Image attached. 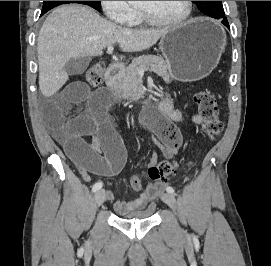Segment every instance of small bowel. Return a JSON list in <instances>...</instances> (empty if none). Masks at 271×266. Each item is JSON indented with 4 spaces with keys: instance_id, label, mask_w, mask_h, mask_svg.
Returning a JSON list of instances; mask_svg holds the SVG:
<instances>
[{
    "instance_id": "obj_1",
    "label": "small bowel",
    "mask_w": 271,
    "mask_h": 266,
    "mask_svg": "<svg viewBox=\"0 0 271 266\" xmlns=\"http://www.w3.org/2000/svg\"><path fill=\"white\" fill-rule=\"evenodd\" d=\"M84 64L80 60L71 62L68 74H80ZM84 100L89 101L88 111L80 117L66 120L65 111ZM112 105L113 99L107 91L101 89L91 93L80 81L64 85L43 104L45 122L86 181L90 180L91 174L115 176L125 165L126 150L110 120ZM158 111L159 115L148 118L145 124L161 142L164 155L172 158L182 144V135L175 125L182 121V114L174 107L169 93L159 102ZM192 121L202 124L203 119L195 114ZM84 137H90L92 144L87 143ZM129 184L139 194L134 200H115L112 190L105 192L106 200L113 202L114 210L121 215L145 208L165 187L164 183L157 182L144 188L138 176H131Z\"/></svg>"
}]
</instances>
